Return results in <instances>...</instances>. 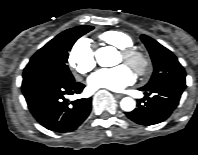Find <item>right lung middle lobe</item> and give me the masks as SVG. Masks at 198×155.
<instances>
[{
	"instance_id": "dd1d6c3e",
	"label": "right lung middle lobe",
	"mask_w": 198,
	"mask_h": 155,
	"mask_svg": "<svg viewBox=\"0 0 198 155\" xmlns=\"http://www.w3.org/2000/svg\"><path fill=\"white\" fill-rule=\"evenodd\" d=\"M92 29V26H78L57 35L32 56L24 69L23 78L43 76L62 82L74 81L67 66L68 52L78 38Z\"/></svg>"
}]
</instances>
